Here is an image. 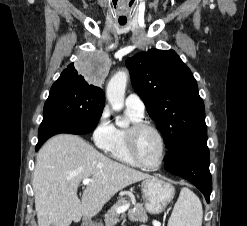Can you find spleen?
I'll list each match as a JSON object with an SVG mask.
<instances>
[{"label":"spleen","instance_id":"3e777b00","mask_svg":"<svg viewBox=\"0 0 247 226\" xmlns=\"http://www.w3.org/2000/svg\"><path fill=\"white\" fill-rule=\"evenodd\" d=\"M203 209L199 198L188 188L180 191L168 226H201Z\"/></svg>","mask_w":247,"mask_h":226}]
</instances>
